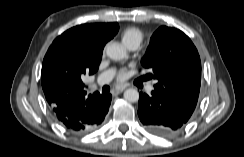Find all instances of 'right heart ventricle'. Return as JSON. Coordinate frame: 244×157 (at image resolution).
<instances>
[{"label":"right heart ventricle","instance_id":"e07e8e85","mask_svg":"<svg viewBox=\"0 0 244 157\" xmlns=\"http://www.w3.org/2000/svg\"><path fill=\"white\" fill-rule=\"evenodd\" d=\"M144 39L143 31L138 27H128L121 33L122 43L128 47L131 44L140 45Z\"/></svg>","mask_w":244,"mask_h":157}]
</instances>
